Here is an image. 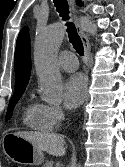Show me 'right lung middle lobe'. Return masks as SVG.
<instances>
[{
    "label": "right lung middle lobe",
    "mask_w": 125,
    "mask_h": 167,
    "mask_svg": "<svg viewBox=\"0 0 125 167\" xmlns=\"http://www.w3.org/2000/svg\"><path fill=\"white\" fill-rule=\"evenodd\" d=\"M24 90H25V88L15 89V93L13 94V96L10 100L8 109H7L6 121L12 117L13 109H14L16 103L18 102V100L20 99V97L22 96Z\"/></svg>",
    "instance_id": "obj_1"
}]
</instances>
